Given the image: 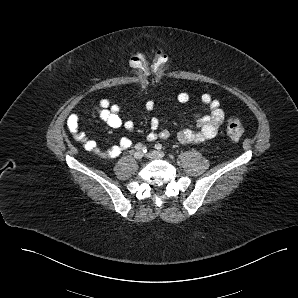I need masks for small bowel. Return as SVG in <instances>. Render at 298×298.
<instances>
[{
  "mask_svg": "<svg viewBox=\"0 0 298 298\" xmlns=\"http://www.w3.org/2000/svg\"><path fill=\"white\" fill-rule=\"evenodd\" d=\"M189 99L190 96L186 92H180L177 95V100L180 103H186ZM201 102L207 106L209 112L197 116V130L185 128L178 132L177 138L183 144H197L213 140L224 121L225 112L217 99L205 93L201 96ZM154 107L155 103L153 100L146 101L145 109L147 111H152ZM91 109L95 117L99 118L112 128H123L127 131H132L134 129L133 121L124 119L120 107L111 103L108 99H101L99 103L92 106ZM67 126L72 133L73 138L80 142L85 150L105 159L118 157L132 145V142L128 137H122L118 144L113 145L106 150L101 149L94 139L79 130V116L75 113L68 117ZM159 127V120L157 118H152L150 120V131L146 136L148 141L169 138V131L166 129L159 130Z\"/></svg>",
  "mask_w": 298,
  "mask_h": 298,
  "instance_id": "small-bowel-1",
  "label": "small bowel"
}]
</instances>
